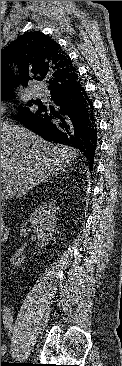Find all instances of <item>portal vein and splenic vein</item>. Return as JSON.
I'll list each match as a JSON object with an SVG mask.
<instances>
[{"mask_svg": "<svg viewBox=\"0 0 122 366\" xmlns=\"http://www.w3.org/2000/svg\"><path fill=\"white\" fill-rule=\"evenodd\" d=\"M8 189H9V187L7 186V187H6V190L8 191Z\"/></svg>", "mask_w": 122, "mask_h": 366, "instance_id": "1", "label": "portal vein and splenic vein"}]
</instances>
